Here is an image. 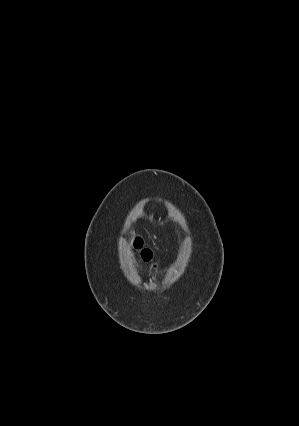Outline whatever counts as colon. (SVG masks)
Segmentation results:
<instances>
[{
	"label": "colon",
	"mask_w": 299,
	"mask_h": 426,
	"mask_svg": "<svg viewBox=\"0 0 299 426\" xmlns=\"http://www.w3.org/2000/svg\"><path fill=\"white\" fill-rule=\"evenodd\" d=\"M133 252L139 256V258L145 263H151L153 253L151 249L144 247L143 242L140 238H134L132 242Z\"/></svg>",
	"instance_id": "obj_1"
}]
</instances>
